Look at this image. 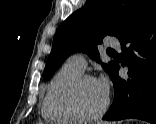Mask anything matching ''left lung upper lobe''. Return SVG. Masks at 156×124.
I'll return each mask as SVG.
<instances>
[{
	"label": "left lung upper lobe",
	"mask_w": 156,
	"mask_h": 124,
	"mask_svg": "<svg viewBox=\"0 0 156 124\" xmlns=\"http://www.w3.org/2000/svg\"><path fill=\"white\" fill-rule=\"evenodd\" d=\"M150 0H87L57 29L43 79L48 80L64 60L76 51L99 60L97 44L106 35L120 38L139 20ZM116 62L102 64L110 75Z\"/></svg>",
	"instance_id": "1"
}]
</instances>
